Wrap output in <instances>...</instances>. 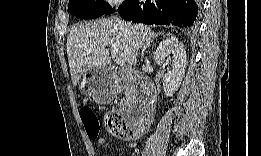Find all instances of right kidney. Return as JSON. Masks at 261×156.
Instances as JSON below:
<instances>
[{
  "instance_id": "obj_1",
  "label": "right kidney",
  "mask_w": 261,
  "mask_h": 156,
  "mask_svg": "<svg viewBox=\"0 0 261 156\" xmlns=\"http://www.w3.org/2000/svg\"><path fill=\"white\" fill-rule=\"evenodd\" d=\"M172 55V57H171ZM157 65L172 63V68L163 76V88L166 97L172 96L180 87L186 69V51L176 37L163 40L154 53Z\"/></svg>"
}]
</instances>
